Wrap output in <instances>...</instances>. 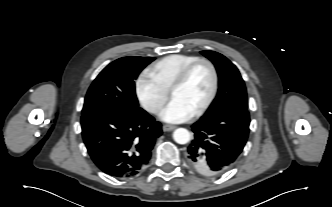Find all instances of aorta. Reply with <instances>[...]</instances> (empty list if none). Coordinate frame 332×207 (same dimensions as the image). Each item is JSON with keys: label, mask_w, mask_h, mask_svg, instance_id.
Segmentation results:
<instances>
[{"label": "aorta", "mask_w": 332, "mask_h": 207, "mask_svg": "<svg viewBox=\"0 0 332 207\" xmlns=\"http://www.w3.org/2000/svg\"><path fill=\"white\" fill-rule=\"evenodd\" d=\"M173 139L178 144H186L190 141V132L185 128H178L173 132Z\"/></svg>", "instance_id": "obj_1"}]
</instances>
